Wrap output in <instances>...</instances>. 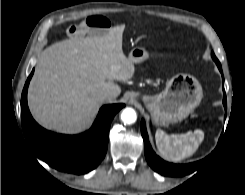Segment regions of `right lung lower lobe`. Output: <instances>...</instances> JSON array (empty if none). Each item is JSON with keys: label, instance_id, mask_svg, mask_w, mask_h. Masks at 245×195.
Returning <instances> with one entry per match:
<instances>
[{"label": "right lung lower lobe", "instance_id": "98d812e1", "mask_svg": "<svg viewBox=\"0 0 245 195\" xmlns=\"http://www.w3.org/2000/svg\"><path fill=\"white\" fill-rule=\"evenodd\" d=\"M28 77L21 96L22 128L33 153L51 167L66 173L85 174L95 169L107 152L109 128L124 104L103 106L91 127L79 135H62L47 131L32 118L27 105Z\"/></svg>", "mask_w": 245, "mask_h": 195}]
</instances>
